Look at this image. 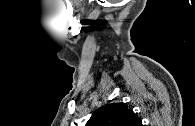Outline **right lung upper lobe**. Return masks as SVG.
<instances>
[{"label": "right lung upper lobe", "instance_id": "cb5924a9", "mask_svg": "<svg viewBox=\"0 0 195 126\" xmlns=\"http://www.w3.org/2000/svg\"><path fill=\"white\" fill-rule=\"evenodd\" d=\"M86 126H142L132 109L121 103H111L99 108Z\"/></svg>", "mask_w": 195, "mask_h": 126}]
</instances>
